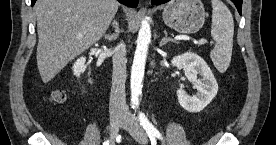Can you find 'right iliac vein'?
Masks as SVG:
<instances>
[{"label": "right iliac vein", "mask_w": 276, "mask_h": 145, "mask_svg": "<svg viewBox=\"0 0 276 145\" xmlns=\"http://www.w3.org/2000/svg\"><path fill=\"white\" fill-rule=\"evenodd\" d=\"M123 120V116L121 115H112L110 117V136L112 141L117 136L119 127L122 124Z\"/></svg>", "instance_id": "1"}]
</instances>
